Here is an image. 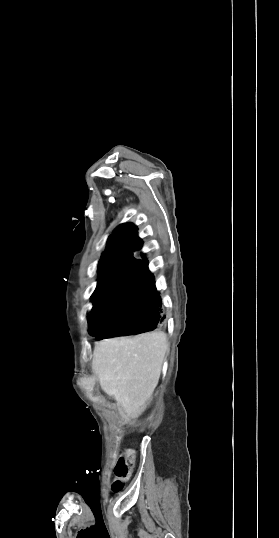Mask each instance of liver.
<instances>
[{
	"label": "liver",
	"mask_w": 279,
	"mask_h": 538,
	"mask_svg": "<svg viewBox=\"0 0 279 538\" xmlns=\"http://www.w3.org/2000/svg\"><path fill=\"white\" fill-rule=\"evenodd\" d=\"M168 350L164 332L96 342L94 370L101 390L122 406L125 418H138L159 382Z\"/></svg>",
	"instance_id": "liver-1"
}]
</instances>
